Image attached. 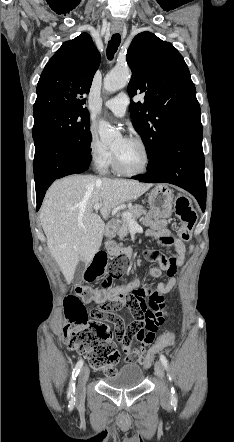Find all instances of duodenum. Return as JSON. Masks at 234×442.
Instances as JSON below:
<instances>
[{"label":"duodenum","instance_id":"obj_1","mask_svg":"<svg viewBox=\"0 0 234 442\" xmlns=\"http://www.w3.org/2000/svg\"><path fill=\"white\" fill-rule=\"evenodd\" d=\"M116 231H117L116 223L110 222V223L106 224V226H105V234H106V236L112 237V236L115 235ZM114 253L117 256H120V255L130 256L131 255V251L129 249L115 250Z\"/></svg>","mask_w":234,"mask_h":442}]
</instances>
